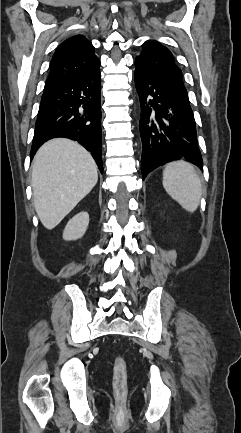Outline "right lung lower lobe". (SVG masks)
Returning <instances> with one entry per match:
<instances>
[{"label": "right lung lower lobe", "instance_id": "1", "mask_svg": "<svg viewBox=\"0 0 241 433\" xmlns=\"http://www.w3.org/2000/svg\"><path fill=\"white\" fill-rule=\"evenodd\" d=\"M100 71L84 73L44 88L31 147L56 137L78 141L91 152L103 172Z\"/></svg>", "mask_w": 241, "mask_h": 433}]
</instances>
